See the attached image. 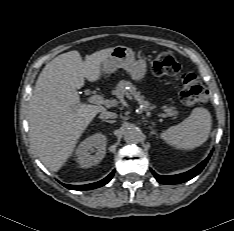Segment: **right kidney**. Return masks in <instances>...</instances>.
Wrapping results in <instances>:
<instances>
[{
	"label": "right kidney",
	"mask_w": 234,
	"mask_h": 231,
	"mask_svg": "<svg viewBox=\"0 0 234 231\" xmlns=\"http://www.w3.org/2000/svg\"><path fill=\"white\" fill-rule=\"evenodd\" d=\"M106 144L107 138L101 133L86 138L76 149L77 162L84 168L97 165L105 156Z\"/></svg>",
	"instance_id": "ca27d5eb"
}]
</instances>
